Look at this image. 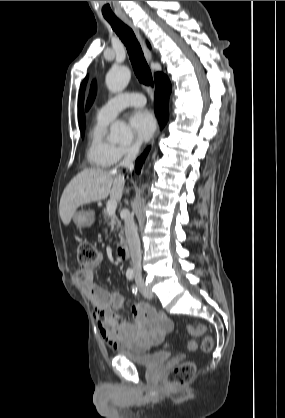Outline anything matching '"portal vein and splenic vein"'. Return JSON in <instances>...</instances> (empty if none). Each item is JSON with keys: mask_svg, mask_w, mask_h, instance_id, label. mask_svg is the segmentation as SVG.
I'll return each mask as SVG.
<instances>
[{"mask_svg": "<svg viewBox=\"0 0 285 418\" xmlns=\"http://www.w3.org/2000/svg\"><path fill=\"white\" fill-rule=\"evenodd\" d=\"M116 208H117V201L110 199L107 202V205H106V210H107L108 215L109 216L114 215L115 214V211H116Z\"/></svg>", "mask_w": 285, "mask_h": 418, "instance_id": "18ae733b", "label": "portal vein and splenic vein"}]
</instances>
